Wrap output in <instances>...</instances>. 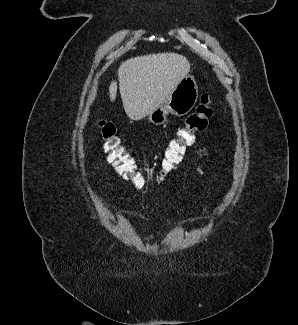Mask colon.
<instances>
[{
	"label": "colon",
	"instance_id": "obj_1",
	"mask_svg": "<svg viewBox=\"0 0 298 325\" xmlns=\"http://www.w3.org/2000/svg\"><path fill=\"white\" fill-rule=\"evenodd\" d=\"M213 115V100L203 93L200 102L192 114H190L183 126L178 128L175 136L168 142L162 156L160 177L170 174L180 163L186 148L195 141V135L204 131ZM103 150L107 160L112 164L119 174L128 179L136 188L144 189L146 179L137 167L135 158L122 144L114 124L101 121L99 123Z\"/></svg>",
	"mask_w": 298,
	"mask_h": 325
}]
</instances>
